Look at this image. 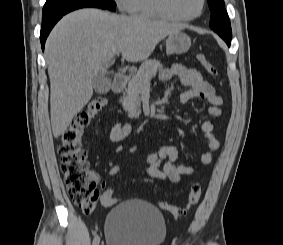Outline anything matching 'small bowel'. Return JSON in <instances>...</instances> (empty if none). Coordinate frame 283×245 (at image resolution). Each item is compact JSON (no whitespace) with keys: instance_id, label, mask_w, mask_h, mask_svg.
<instances>
[{"instance_id":"obj_1","label":"small bowel","mask_w":283,"mask_h":245,"mask_svg":"<svg viewBox=\"0 0 283 245\" xmlns=\"http://www.w3.org/2000/svg\"><path fill=\"white\" fill-rule=\"evenodd\" d=\"M173 78L178 79L182 85L188 87L180 95L182 103H187L192 99H203L209 103L208 111L212 117L222 115V98L198 70L176 64L160 73V80L163 82H168ZM201 128L208 141V150L201 155L199 161L191 165H176L175 161L179 155L178 149L174 146H163L158 152L149 154L146 157L141 172L156 179L177 183L183 175H192L203 166L210 164L213 160V154L218 150L220 144L214 134L215 125L211 121H205ZM131 132L132 125L130 123H116L110 130H105L112 142L123 140ZM122 168V165L112 166L109 169V175L115 176L119 174ZM92 177L96 181L99 180L96 175H92Z\"/></svg>"}]
</instances>
